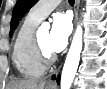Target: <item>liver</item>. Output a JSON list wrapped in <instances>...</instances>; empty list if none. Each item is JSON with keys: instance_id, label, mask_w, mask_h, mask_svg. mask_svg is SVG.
Instances as JSON below:
<instances>
[{"instance_id": "6515ba94", "label": "liver", "mask_w": 107, "mask_h": 89, "mask_svg": "<svg viewBox=\"0 0 107 89\" xmlns=\"http://www.w3.org/2000/svg\"><path fill=\"white\" fill-rule=\"evenodd\" d=\"M45 81L37 79H19L11 83L8 89H43Z\"/></svg>"}]
</instances>
